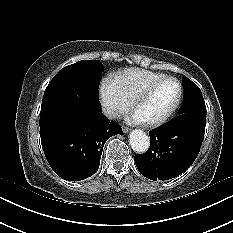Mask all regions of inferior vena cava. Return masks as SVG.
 Wrapping results in <instances>:
<instances>
[{
  "label": "inferior vena cava",
  "instance_id": "inferior-vena-cava-1",
  "mask_svg": "<svg viewBox=\"0 0 233 233\" xmlns=\"http://www.w3.org/2000/svg\"><path fill=\"white\" fill-rule=\"evenodd\" d=\"M102 111L109 118H112L116 115L115 109L108 104H103Z\"/></svg>",
  "mask_w": 233,
  "mask_h": 233
}]
</instances>
